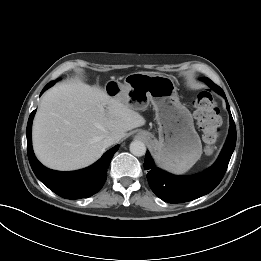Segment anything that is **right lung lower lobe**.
Returning a JSON list of instances; mask_svg holds the SVG:
<instances>
[{
  "mask_svg": "<svg viewBox=\"0 0 261 261\" xmlns=\"http://www.w3.org/2000/svg\"><path fill=\"white\" fill-rule=\"evenodd\" d=\"M54 83H48L41 94ZM35 112L36 110L30 114L26 133L28 158L36 177L54 193L66 199L87 198L97 193L106 181V170L119 145L108 150L98 161L85 169L72 172L48 169L36 159L32 149L31 127Z\"/></svg>",
  "mask_w": 261,
  "mask_h": 261,
  "instance_id": "98d812e1",
  "label": "right lung lower lobe"
}]
</instances>
